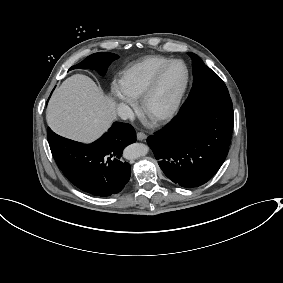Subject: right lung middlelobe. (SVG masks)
Returning a JSON list of instances; mask_svg holds the SVG:
<instances>
[{
    "label": "right lung middle lobe",
    "mask_w": 283,
    "mask_h": 283,
    "mask_svg": "<svg viewBox=\"0 0 283 283\" xmlns=\"http://www.w3.org/2000/svg\"><path fill=\"white\" fill-rule=\"evenodd\" d=\"M119 56L113 53L108 52H99L94 53L88 56L79 64L72 66L69 70L72 69H95L100 75H104L106 73L107 67Z\"/></svg>",
    "instance_id": "dd1d6c3e"
}]
</instances>
